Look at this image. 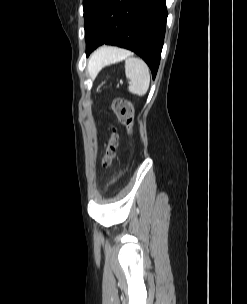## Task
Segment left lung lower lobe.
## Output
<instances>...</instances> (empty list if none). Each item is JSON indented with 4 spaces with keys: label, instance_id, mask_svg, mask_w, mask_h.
Here are the masks:
<instances>
[{
    "label": "left lung lower lobe",
    "instance_id": "left-lung-lower-lobe-1",
    "mask_svg": "<svg viewBox=\"0 0 247 304\" xmlns=\"http://www.w3.org/2000/svg\"><path fill=\"white\" fill-rule=\"evenodd\" d=\"M167 20L165 0H103L85 28L86 55L102 44L129 49L156 76Z\"/></svg>",
    "mask_w": 247,
    "mask_h": 304
}]
</instances>
